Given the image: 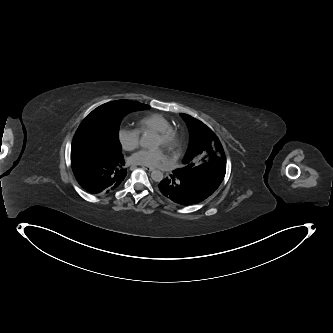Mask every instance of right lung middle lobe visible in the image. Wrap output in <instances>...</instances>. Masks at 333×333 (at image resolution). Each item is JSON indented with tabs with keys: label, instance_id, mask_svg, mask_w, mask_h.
Wrapping results in <instances>:
<instances>
[{
	"label": "right lung middle lobe",
	"instance_id": "right-lung-middle-lobe-1",
	"mask_svg": "<svg viewBox=\"0 0 333 333\" xmlns=\"http://www.w3.org/2000/svg\"><path fill=\"white\" fill-rule=\"evenodd\" d=\"M140 110L138 102L117 100L94 109L80 124L72 145L89 146L111 158L122 156L119 127L124 116Z\"/></svg>",
	"mask_w": 333,
	"mask_h": 333
}]
</instances>
